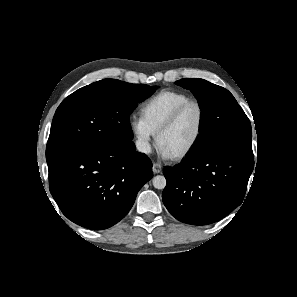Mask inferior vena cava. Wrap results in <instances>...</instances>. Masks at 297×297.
Masks as SVG:
<instances>
[{
    "label": "inferior vena cava",
    "instance_id": "602c4592",
    "mask_svg": "<svg viewBox=\"0 0 297 297\" xmlns=\"http://www.w3.org/2000/svg\"><path fill=\"white\" fill-rule=\"evenodd\" d=\"M136 148L139 152H142V153H150L151 152V146L150 144L145 141V140H137L136 141Z\"/></svg>",
    "mask_w": 297,
    "mask_h": 297
}]
</instances>
